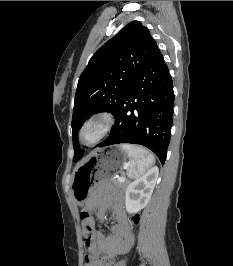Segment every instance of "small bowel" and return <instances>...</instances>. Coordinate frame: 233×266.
Masks as SVG:
<instances>
[{
    "label": "small bowel",
    "mask_w": 233,
    "mask_h": 266,
    "mask_svg": "<svg viewBox=\"0 0 233 266\" xmlns=\"http://www.w3.org/2000/svg\"><path fill=\"white\" fill-rule=\"evenodd\" d=\"M112 209L110 233L98 230L96 221L91 217L89 226L82 223V235L86 248L85 266H110L111 260L132 240V232L124 211L123 197L109 187L98 188L86 204L85 211L93 213L99 221L105 217L107 209Z\"/></svg>",
    "instance_id": "c3829d8e"
}]
</instances>
